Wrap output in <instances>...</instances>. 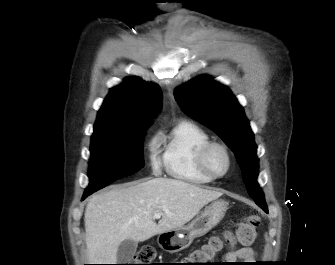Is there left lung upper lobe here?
I'll use <instances>...</instances> for the list:
<instances>
[{"instance_id":"1","label":"left lung upper lobe","mask_w":335,"mask_h":265,"mask_svg":"<svg viewBox=\"0 0 335 265\" xmlns=\"http://www.w3.org/2000/svg\"><path fill=\"white\" fill-rule=\"evenodd\" d=\"M180 106L193 118L211 128L234 151L248 194L265 212L268 207L257 183L258 158L254 134L243 108L224 85L201 76L174 92Z\"/></svg>"}]
</instances>
